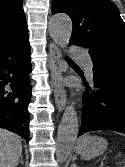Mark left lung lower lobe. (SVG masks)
I'll return each instance as SVG.
<instances>
[{
	"instance_id": "obj_1",
	"label": "left lung lower lobe",
	"mask_w": 125,
	"mask_h": 167,
	"mask_svg": "<svg viewBox=\"0 0 125 167\" xmlns=\"http://www.w3.org/2000/svg\"><path fill=\"white\" fill-rule=\"evenodd\" d=\"M94 86L86 83L78 136L108 129L125 134V72L112 66H93Z\"/></svg>"
}]
</instances>
